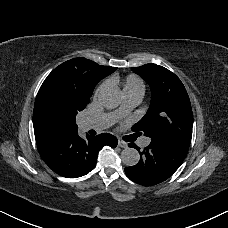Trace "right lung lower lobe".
<instances>
[{
  "label": "right lung lower lobe",
  "mask_w": 228,
  "mask_h": 228,
  "mask_svg": "<svg viewBox=\"0 0 228 228\" xmlns=\"http://www.w3.org/2000/svg\"><path fill=\"white\" fill-rule=\"evenodd\" d=\"M36 143L42 159L54 172L76 178L94 169L100 149L104 146L115 148L118 140L108 133L96 137L87 134L83 139L78 131H74L53 135Z\"/></svg>",
  "instance_id": "obj_1"
}]
</instances>
